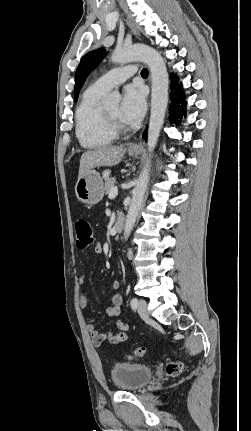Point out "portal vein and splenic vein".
I'll return each mask as SVG.
<instances>
[{
	"label": "portal vein and splenic vein",
	"mask_w": 251,
	"mask_h": 431,
	"mask_svg": "<svg viewBox=\"0 0 251 431\" xmlns=\"http://www.w3.org/2000/svg\"><path fill=\"white\" fill-rule=\"evenodd\" d=\"M117 194H118V187H117V186H115V187H113V188H112V190L110 191V193H109V198H110V199H114V198L117 196Z\"/></svg>",
	"instance_id": "18ae733b"
}]
</instances>
